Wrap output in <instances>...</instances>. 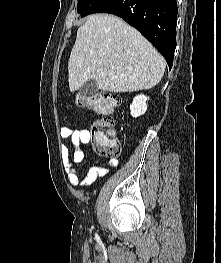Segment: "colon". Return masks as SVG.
I'll return each mask as SVG.
<instances>
[{"mask_svg":"<svg viewBox=\"0 0 221 263\" xmlns=\"http://www.w3.org/2000/svg\"><path fill=\"white\" fill-rule=\"evenodd\" d=\"M76 104L82 109L105 115L92 127L90 139L99 155L106 158L118 157L120 145L115 136L114 120L110 115L121 104V98L113 93L78 94Z\"/></svg>","mask_w":221,"mask_h":263,"instance_id":"5ec220e1","label":"colon"}]
</instances>
